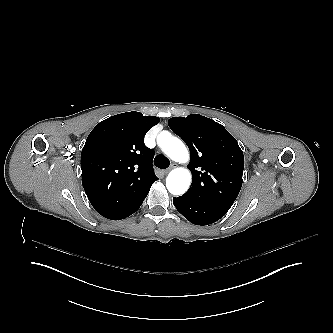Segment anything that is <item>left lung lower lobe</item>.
Masks as SVG:
<instances>
[{
	"mask_svg": "<svg viewBox=\"0 0 333 333\" xmlns=\"http://www.w3.org/2000/svg\"><path fill=\"white\" fill-rule=\"evenodd\" d=\"M174 206L191 223L208 225L222 218L230 209L227 206L207 204L185 196L173 198Z\"/></svg>",
	"mask_w": 333,
	"mask_h": 333,
	"instance_id": "obj_1",
	"label": "left lung lower lobe"
}]
</instances>
